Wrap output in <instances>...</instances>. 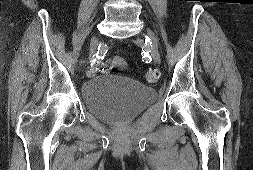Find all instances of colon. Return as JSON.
<instances>
[{"instance_id": "5ec220e1", "label": "colon", "mask_w": 253, "mask_h": 170, "mask_svg": "<svg viewBox=\"0 0 253 170\" xmlns=\"http://www.w3.org/2000/svg\"><path fill=\"white\" fill-rule=\"evenodd\" d=\"M119 66H123L124 65V62L123 60L120 59L119 62H116ZM101 69H105V70H108V69H112V65H108V64H101L100 66ZM159 72L157 70H153V69H150L148 70L146 73H145V79L149 82V83H155L159 80Z\"/></svg>"}]
</instances>
